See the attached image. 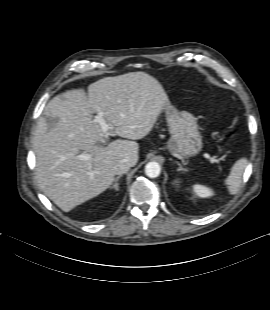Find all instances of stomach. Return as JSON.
<instances>
[{"label": "stomach", "mask_w": 270, "mask_h": 310, "mask_svg": "<svg viewBox=\"0 0 270 310\" xmlns=\"http://www.w3.org/2000/svg\"><path fill=\"white\" fill-rule=\"evenodd\" d=\"M171 137L167 143L170 152L184 158L196 156L202 150V136L197 119L187 111H178L169 105L164 108Z\"/></svg>", "instance_id": "obj_1"}]
</instances>
